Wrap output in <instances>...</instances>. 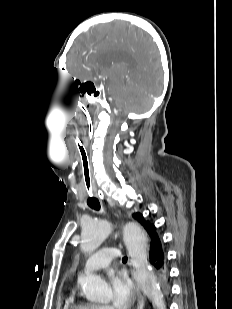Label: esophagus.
Masks as SVG:
<instances>
[{"mask_svg":"<svg viewBox=\"0 0 232 309\" xmlns=\"http://www.w3.org/2000/svg\"><path fill=\"white\" fill-rule=\"evenodd\" d=\"M144 306V298L141 295V293H138V304H137V309H142Z\"/></svg>","mask_w":232,"mask_h":309,"instance_id":"esophagus-1","label":"esophagus"}]
</instances>
